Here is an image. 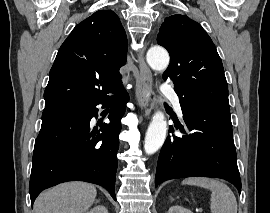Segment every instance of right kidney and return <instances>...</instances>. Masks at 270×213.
<instances>
[{
    "instance_id": "right-kidney-1",
    "label": "right kidney",
    "mask_w": 270,
    "mask_h": 213,
    "mask_svg": "<svg viewBox=\"0 0 270 213\" xmlns=\"http://www.w3.org/2000/svg\"><path fill=\"white\" fill-rule=\"evenodd\" d=\"M86 213H108V210L102 206H95L94 208H92L90 211L86 212Z\"/></svg>"
}]
</instances>
